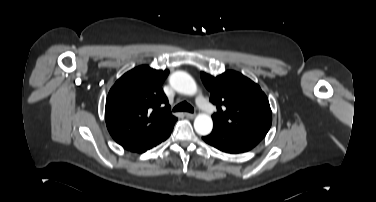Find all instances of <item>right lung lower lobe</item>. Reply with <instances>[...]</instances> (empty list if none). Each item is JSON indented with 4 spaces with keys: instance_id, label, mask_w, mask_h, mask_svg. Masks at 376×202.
Segmentation results:
<instances>
[{
    "instance_id": "1",
    "label": "right lung lower lobe",
    "mask_w": 376,
    "mask_h": 202,
    "mask_svg": "<svg viewBox=\"0 0 376 202\" xmlns=\"http://www.w3.org/2000/svg\"><path fill=\"white\" fill-rule=\"evenodd\" d=\"M176 120H177V118H175L172 121V123L166 129L157 133L150 140H148V141H146L142 144L136 145L134 147L128 148L127 150L132 151V152H137V153H143V152H146L147 150L155 147L156 145L160 144L162 141H165L170 136Z\"/></svg>"
}]
</instances>
